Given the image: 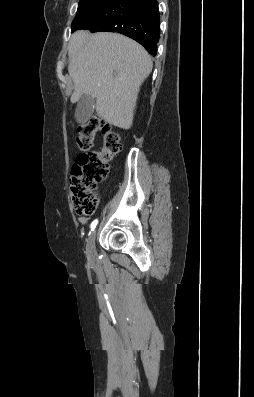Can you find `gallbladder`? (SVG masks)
<instances>
[{
  "label": "gallbladder",
  "instance_id": "bac80fb5",
  "mask_svg": "<svg viewBox=\"0 0 254 397\" xmlns=\"http://www.w3.org/2000/svg\"><path fill=\"white\" fill-rule=\"evenodd\" d=\"M94 112V98L90 95H83L76 107L75 119L79 124H84Z\"/></svg>",
  "mask_w": 254,
  "mask_h": 397
}]
</instances>
